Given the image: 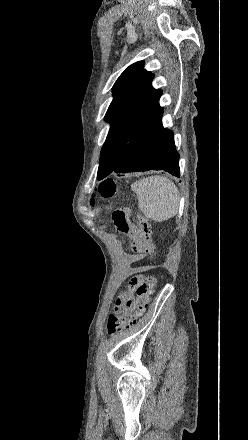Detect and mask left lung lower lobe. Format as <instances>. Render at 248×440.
I'll return each instance as SVG.
<instances>
[{"label":"left lung lower lobe","mask_w":248,"mask_h":440,"mask_svg":"<svg viewBox=\"0 0 248 440\" xmlns=\"http://www.w3.org/2000/svg\"><path fill=\"white\" fill-rule=\"evenodd\" d=\"M147 170H164L180 177L179 154L175 150L173 132L163 126L131 148L113 172Z\"/></svg>","instance_id":"obj_1"}]
</instances>
